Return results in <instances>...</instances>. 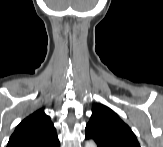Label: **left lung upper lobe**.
I'll return each instance as SVG.
<instances>
[{"mask_svg": "<svg viewBox=\"0 0 163 147\" xmlns=\"http://www.w3.org/2000/svg\"><path fill=\"white\" fill-rule=\"evenodd\" d=\"M86 136L108 147H140L130 127L110 108L97 103L92 107Z\"/></svg>", "mask_w": 163, "mask_h": 147, "instance_id": "5c2ea615", "label": "left lung upper lobe"}]
</instances>
